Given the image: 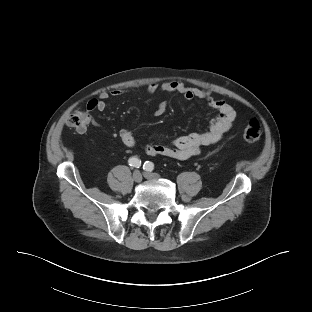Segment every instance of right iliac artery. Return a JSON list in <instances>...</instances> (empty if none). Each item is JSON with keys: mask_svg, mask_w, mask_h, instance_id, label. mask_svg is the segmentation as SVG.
<instances>
[{"mask_svg": "<svg viewBox=\"0 0 312 312\" xmlns=\"http://www.w3.org/2000/svg\"><path fill=\"white\" fill-rule=\"evenodd\" d=\"M128 163L130 166H133V167H136V168H139L141 166V161L136 158V157H131L129 160H128Z\"/></svg>", "mask_w": 312, "mask_h": 312, "instance_id": "82829eb1", "label": "right iliac artery"}]
</instances>
